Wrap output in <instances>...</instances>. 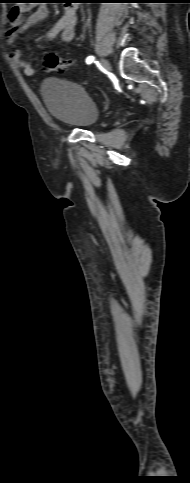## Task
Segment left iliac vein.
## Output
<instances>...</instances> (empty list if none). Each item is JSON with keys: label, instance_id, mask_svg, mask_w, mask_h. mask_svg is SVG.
Returning <instances> with one entry per match:
<instances>
[{"label": "left iliac vein", "instance_id": "left-iliac-vein-1", "mask_svg": "<svg viewBox=\"0 0 190 483\" xmlns=\"http://www.w3.org/2000/svg\"><path fill=\"white\" fill-rule=\"evenodd\" d=\"M102 67L105 71H110L111 65L107 59L102 60Z\"/></svg>", "mask_w": 190, "mask_h": 483}]
</instances>
